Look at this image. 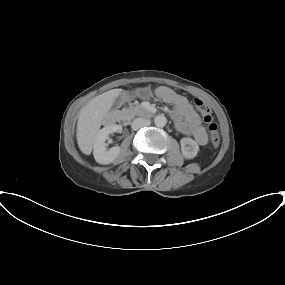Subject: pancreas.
<instances>
[{"mask_svg": "<svg viewBox=\"0 0 285 285\" xmlns=\"http://www.w3.org/2000/svg\"><path fill=\"white\" fill-rule=\"evenodd\" d=\"M125 111L129 112V118H133L134 116L138 115V107H129L128 109H126Z\"/></svg>", "mask_w": 285, "mask_h": 285, "instance_id": "cf45deb5", "label": "pancreas"}]
</instances>
